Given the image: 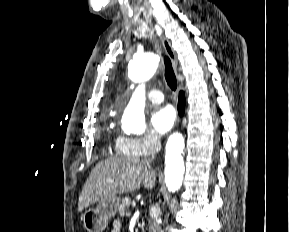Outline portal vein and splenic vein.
I'll list each match as a JSON object with an SVG mask.
<instances>
[{"mask_svg": "<svg viewBox=\"0 0 289 232\" xmlns=\"http://www.w3.org/2000/svg\"><path fill=\"white\" fill-rule=\"evenodd\" d=\"M108 182H112V180H108ZM132 206H133V207L136 206V202H135V201L132 202Z\"/></svg>", "mask_w": 289, "mask_h": 232, "instance_id": "18ae733b", "label": "portal vein and splenic vein"}]
</instances>
